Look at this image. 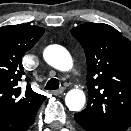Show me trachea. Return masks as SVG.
I'll list each match as a JSON object with an SVG mask.
<instances>
[{
	"instance_id": "1",
	"label": "trachea",
	"mask_w": 131,
	"mask_h": 131,
	"mask_svg": "<svg viewBox=\"0 0 131 131\" xmlns=\"http://www.w3.org/2000/svg\"><path fill=\"white\" fill-rule=\"evenodd\" d=\"M59 88V80L56 79V78H51L46 86H45V89H50V90H56Z\"/></svg>"
}]
</instances>
